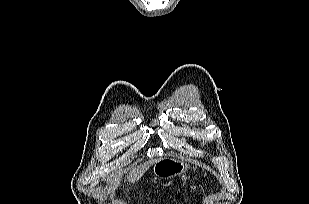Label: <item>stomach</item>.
<instances>
[{
    "label": "stomach",
    "instance_id": "0dacf381",
    "mask_svg": "<svg viewBox=\"0 0 309 204\" xmlns=\"http://www.w3.org/2000/svg\"><path fill=\"white\" fill-rule=\"evenodd\" d=\"M187 169L188 165L182 161L173 158H164L154 163L152 171L160 179H170L184 174Z\"/></svg>",
    "mask_w": 309,
    "mask_h": 204
}]
</instances>
